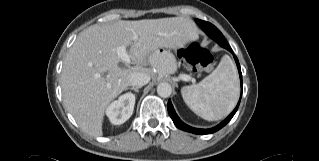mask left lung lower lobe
I'll return each mask as SVG.
<instances>
[{
	"mask_svg": "<svg viewBox=\"0 0 319 161\" xmlns=\"http://www.w3.org/2000/svg\"><path fill=\"white\" fill-rule=\"evenodd\" d=\"M197 24L205 31V33L207 35H209L210 37L211 36L216 37L214 31L210 30L208 27H206V25L203 23L202 20H200ZM222 47L227 49L228 51H230L233 54V51H232L231 47L229 46V44H224ZM234 59L236 61L237 67H238L240 81H241V89H242V74H241L240 64H239V61L235 55H234ZM241 96H242V91H241ZM240 100H241V97H240ZM240 100H239L236 108L232 111V113L224 121H222L220 124H218L217 126H215L213 128H210V129L193 128V127L185 124L184 122H182L180 120V118L178 117V115L176 114L170 100L168 101V112H169V115H170L171 119L173 120L174 124L177 126V128L184 130V131H187V132H190V133H194V134H201V135L211 134V133H214V132L220 130L221 128H223L232 119V117L234 116V114L236 113V111L239 107Z\"/></svg>",
	"mask_w": 319,
	"mask_h": 161,
	"instance_id": "left-lung-lower-lobe-1",
	"label": "left lung lower lobe"
}]
</instances>
